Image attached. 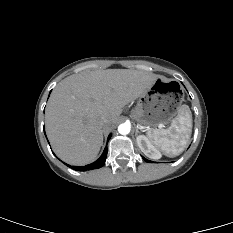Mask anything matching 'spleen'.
Returning <instances> with one entry per match:
<instances>
[{
    "instance_id": "spleen-1",
    "label": "spleen",
    "mask_w": 233,
    "mask_h": 233,
    "mask_svg": "<svg viewBox=\"0 0 233 233\" xmlns=\"http://www.w3.org/2000/svg\"><path fill=\"white\" fill-rule=\"evenodd\" d=\"M191 132L192 114L187 105H182L170 127L149 130L147 136L164 155L175 157L183 152L191 137Z\"/></svg>"
}]
</instances>
